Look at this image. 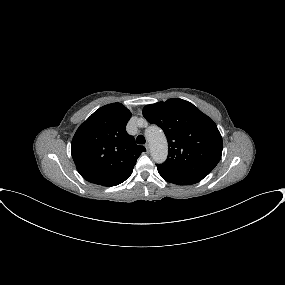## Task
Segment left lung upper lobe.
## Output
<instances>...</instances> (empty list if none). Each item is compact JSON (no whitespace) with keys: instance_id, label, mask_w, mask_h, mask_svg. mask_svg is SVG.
Wrapping results in <instances>:
<instances>
[{"instance_id":"1","label":"left lung upper lobe","mask_w":285,"mask_h":285,"mask_svg":"<svg viewBox=\"0 0 285 285\" xmlns=\"http://www.w3.org/2000/svg\"><path fill=\"white\" fill-rule=\"evenodd\" d=\"M142 113L167 136L168 157L157 164L159 172L203 179L220 161L221 134L214 121L192 103L172 98L146 105Z\"/></svg>"}]
</instances>
